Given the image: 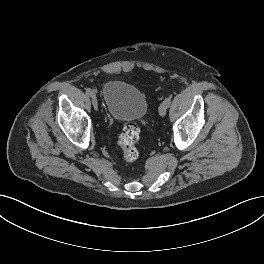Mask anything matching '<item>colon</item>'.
I'll return each instance as SVG.
<instances>
[{
    "mask_svg": "<svg viewBox=\"0 0 264 264\" xmlns=\"http://www.w3.org/2000/svg\"><path fill=\"white\" fill-rule=\"evenodd\" d=\"M139 137L140 130L135 122H127L123 125L117 143L123 151L124 160L128 163H133L139 158V150L137 148Z\"/></svg>",
    "mask_w": 264,
    "mask_h": 264,
    "instance_id": "1",
    "label": "colon"
}]
</instances>
